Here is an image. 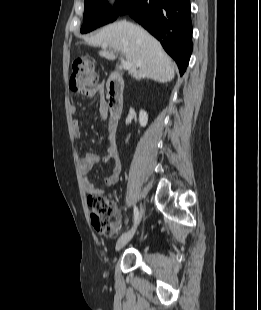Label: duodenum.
<instances>
[{
	"label": "duodenum",
	"mask_w": 261,
	"mask_h": 310,
	"mask_svg": "<svg viewBox=\"0 0 261 310\" xmlns=\"http://www.w3.org/2000/svg\"><path fill=\"white\" fill-rule=\"evenodd\" d=\"M106 87L110 114V127L113 131H116L121 113L124 90V81L121 74L117 71H113L107 80Z\"/></svg>",
	"instance_id": "duodenum-1"
}]
</instances>
